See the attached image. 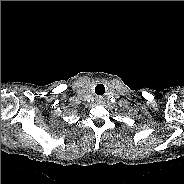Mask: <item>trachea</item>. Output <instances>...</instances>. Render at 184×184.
Here are the masks:
<instances>
[{"mask_svg":"<svg viewBox=\"0 0 184 184\" xmlns=\"http://www.w3.org/2000/svg\"><path fill=\"white\" fill-rule=\"evenodd\" d=\"M106 92L105 86L103 84H97L95 86V94L98 96H103Z\"/></svg>","mask_w":184,"mask_h":184,"instance_id":"trachea-1","label":"trachea"}]
</instances>
